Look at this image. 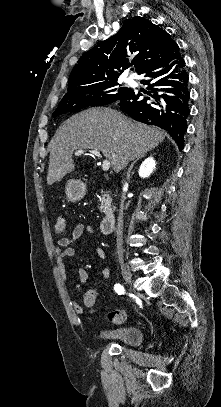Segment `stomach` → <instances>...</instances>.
I'll use <instances>...</instances> for the list:
<instances>
[{
    "instance_id": "obj_1",
    "label": "stomach",
    "mask_w": 221,
    "mask_h": 407,
    "mask_svg": "<svg viewBox=\"0 0 221 407\" xmlns=\"http://www.w3.org/2000/svg\"><path fill=\"white\" fill-rule=\"evenodd\" d=\"M86 192V186L80 180H69L65 186L66 198L70 202H78L84 196Z\"/></svg>"
}]
</instances>
